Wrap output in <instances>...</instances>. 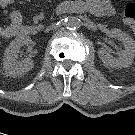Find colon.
<instances>
[{"mask_svg": "<svg viewBox=\"0 0 135 135\" xmlns=\"http://www.w3.org/2000/svg\"><path fill=\"white\" fill-rule=\"evenodd\" d=\"M124 22L135 34V3H129L124 9Z\"/></svg>", "mask_w": 135, "mask_h": 135, "instance_id": "5ec220e1", "label": "colon"}]
</instances>
